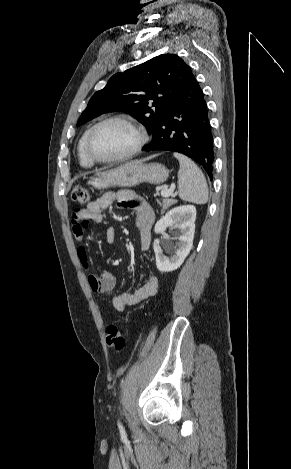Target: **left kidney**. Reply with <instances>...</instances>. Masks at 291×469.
I'll use <instances>...</instances> for the list:
<instances>
[{
    "instance_id": "left-kidney-1",
    "label": "left kidney",
    "mask_w": 291,
    "mask_h": 469,
    "mask_svg": "<svg viewBox=\"0 0 291 469\" xmlns=\"http://www.w3.org/2000/svg\"><path fill=\"white\" fill-rule=\"evenodd\" d=\"M195 220V206L183 205L171 209L156 223V234L164 232L169 226H173L178 230L175 235L179 240L174 250L172 245L169 243L165 244L166 250L172 252L169 257L163 254V250L160 247V240H154L153 248L156 257V266L160 272H171L182 265L193 246Z\"/></svg>"
}]
</instances>
